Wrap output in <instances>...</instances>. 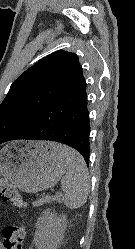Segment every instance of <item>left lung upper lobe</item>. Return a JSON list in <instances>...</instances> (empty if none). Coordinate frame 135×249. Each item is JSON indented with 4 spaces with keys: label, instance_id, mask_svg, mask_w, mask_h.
<instances>
[{
    "label": "left lung upper lobe",
    "instance_id": "left-lung-upper-lobe-1",
    "mask_svg": "<svg viewBox=\"0 0 135 249\" xmlns=\"http://www.w3.org/2000/svg\"><path fill=\"white\" fill-rule=\"evenodd\" d=\"M84 81L75 53L59 50L39 60L12 83L0 105V144L30 128L41 109Z\"/></svg>",
    "mask_w": 135,
    "mask_h": 249
}]
</instances>
